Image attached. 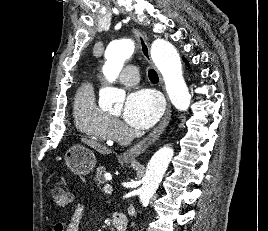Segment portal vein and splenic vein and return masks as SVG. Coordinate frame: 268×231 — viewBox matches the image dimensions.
I'll use <instances>...</instances> for the list:
<instances>
[{"instance_id":"portal-vein-and-splenic-vein-1","label":"portal vein and splenic vein","mask_w":268,"mask_h":231,"mask_svg":"<svg viewBox=\"0 0 268 231\" xmlns=\"http://www.w3.org/2000/svg\"><path fill=\"white\" fill-rule=\"evenodd\" d=\"M104 193L110 194L113 191V188L110 184H105L103 188Z\"/></svg>"}]
</instances>
